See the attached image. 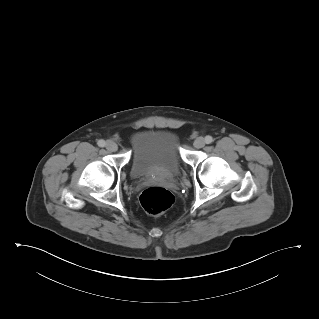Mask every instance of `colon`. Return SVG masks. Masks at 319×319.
<instances>
[{
    "label": "colon",
    "mask_w": 319,
    "mask_h": 319,
    "mask_svg": "<svg viewBox=\"0 0 319 319\" xmlns=\"http://www.w3.org/2000/svg\"><path fill=\"white\" fill-rule=\"evenodd\" d=\"M173 194L159 186L146 188L140 195V204L151 216H160L174 204Z\"/></svg>",
    "instance_id": "1"
}]
</instances>
